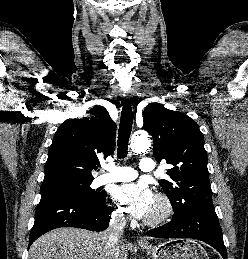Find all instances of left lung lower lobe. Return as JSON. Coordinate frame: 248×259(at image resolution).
Wrapping results in <instances>:
<instances>
[{
    "label": "left lung lower lobe",
    "instance_id": "left-lung-lower-lobe-1",
    "mask_svg": "<svg viewBox=\"0 0 248 259\" xmlns=\"http://www.w3.org/2000/svg\"><path fill=\"white\" fill-rule=\"evenodd\" d=\"M148 236L157 238H194L214 247L227 259L222 232L215 209L197 210L173 216L167 224L150 230Z\"/></svg>",
    "mask_w": 248,
    "mask_h": 259
}]
</instances>
